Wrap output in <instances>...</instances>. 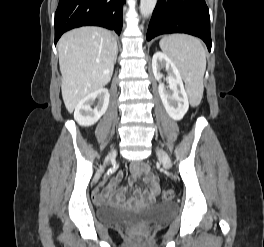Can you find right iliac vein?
<instances>
[{"label":"right iliac vein","instance_id":"right-iliac-vein-1","mask_svg":"<svg viewBox=\"0 0 264 247\" xmlns=\"http://www.w3.org/2000/svg\"><path fill=\"white\" fill-rule=\"evenodd\" d=\"M115 156H116V153H115V152H112V153L110 154L109 160L114 159Z\"/></svg>","mask_w":264,"mask_h":247}]
</instances>
